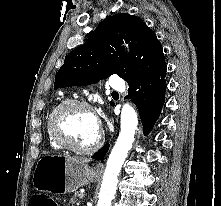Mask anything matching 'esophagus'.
I'll list each match as a JSON object with an SVG mask.
<instances>
[{"label":"esophagus","instance_id":"34e87169","mask_svg":"<svg viewBox=\"0 0 221 206\" xmlns=\"http://www.w3.org/2000/svg\"><path fill=\"white\" fill-rule=\"evenodd\" d=\"M102 168H103L102 164L97 165V169H102Z\"/></svg>","mask_w":221,"mask_h":206}]
</instances>
